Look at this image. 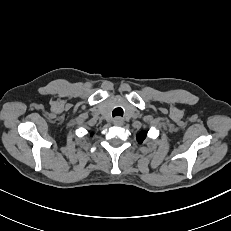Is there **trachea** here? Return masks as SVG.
Segmentation results:
<instances>
[{
  "mask_svg": "<svg viewBox=\"0 0 231 231\" xmlns=\"http://www.w3.org/2000/svg\"><path fill=\"white\" fill-rule=\"evenodd\" d=\"M112 115L113 117L115 116H123V109L118 107V108H115L112 112Z\"/></svg>",
  "mask_w": 231,
  "mask_h": 231,
  "instance_id": "obj_1",
  "label": "trachea"
}]
</instances>
